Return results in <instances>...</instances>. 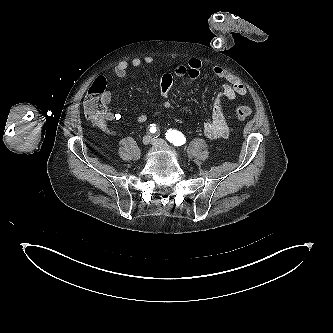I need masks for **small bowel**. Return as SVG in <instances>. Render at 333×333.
<instances>
[{"mask_svg": "<svg viewBox=\"0 0 333 333\" xmlns=\"http://www.w3.org/2000/svg\"><path fill=\"white\" fill-rule=\"evenodd\" d=\"M153 58L147 56L143 59L141 58H133L131 62L121 61L119 62L113 69L115 76L118 78H126L128 69L130 66L138 68L143 64H152ZM201 61L196 58H191L187 61L185 65L177 66L174 70V74L178 77L188 76L192 79H196L200 75L201 71ZM214 76L219 79L224 80V84L221 86L218 91L212 106L211 119L204 123L203 132L205 136L210 139H220L226 138L229 134V128L227 124L226 115L224 113V101L231 102L237 96H243L247 93V89L245 85L232 73L225 70L221 67H214L212 70ZM173 76L169 73L164 74L161 78L160 82V93L164 98L163 108L170 109L172 103L169 99V95L172 88ZM111 93L109 91L106 92V103L108 104L111 101ZM120 118V114L114 112H106L104 117L100 120L96 121L95 124L101 128H106V123L118 120ZM146 114H140L136 121L138 123H145L147 121Z\"/></svg>", "mask_w": 333, "mask_h": 333, "instance_id": "c3829d8e", "label": "small bowel"}]
</instances>
